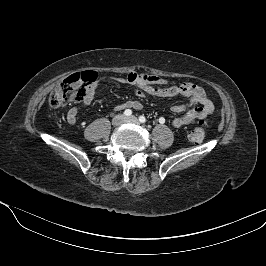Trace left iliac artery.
Segmentation results:
<instances>
[{
    "instance_id": "44dca946",
    "label": "left iliac artery",
    "mask_w": 266,
    "mask_h": 266,
    "mask_svg": "<svg viewBox=\"0 0 266 266\" xmlns=\"http://www.w3.org/2000/svg\"><path fill=\"white\" fill-rule=\"evenodd\" d=\"M139 121L141 123H145L146 122V118L142 115V116L139 117Z\"/></svg>"
}]
</instances>
